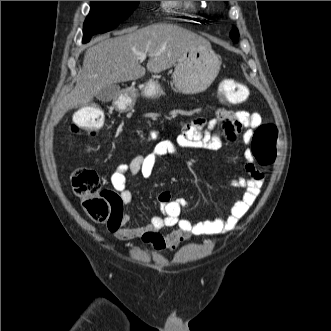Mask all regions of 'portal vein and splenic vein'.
I'll return each mask as SVG.
<instances>
[{"mask_svg":"<svg viewBox=\"0 0 331 331\" xmlns=\"http://www.w3.org/2000/svg\"><path fill=\"white\" fill-rule=\"evenodd\" d=\"M147 56H156V54H146V53H143V54L140 55V59L141 60H144V59H146Z\"/></svg>","mask_w":331,"mask_h":331,"instance_id":"18ae733b","label":"portal vein and splenic vein"}]
</instances>
